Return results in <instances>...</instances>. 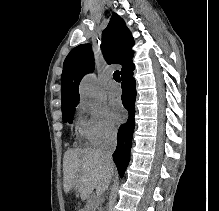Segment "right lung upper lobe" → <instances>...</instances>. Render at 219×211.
<instances>
[{"label":"right lung upper lobe","mask_w":219,"mask_h":211,"mask_svg":"<svg viewBox=\"0 0 219 211\" xmlns=\"http://www.w3.org/2000/svg\"><path fill=\"white\" fill-rule=\"evenodd\" d=\"M134 40L124 21L115 13L102 32L101 50L108 64H121V73L132 63ZM94 70V57L90 44L72 49L63 64L61 76L62 105L79 102V83L84 75Z\"/></svg>","instance_id":"cb5924a9"}]
</instances>
